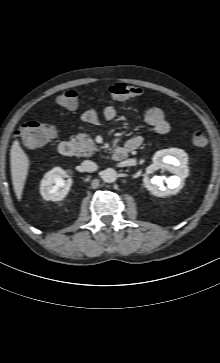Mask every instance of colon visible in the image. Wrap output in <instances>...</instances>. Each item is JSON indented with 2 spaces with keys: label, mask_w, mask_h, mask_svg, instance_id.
<instances>
[{
  "label": "colon",
  "mask_w": 220,
  "mask_h": 363,
  "mask_svg": "<svg viewBox=\"0 0 220 363\" xmlns=\"http://www.w3.org/2000/svg\"><path fill=\"white\" fill-rule=\"evenodd\" d=\"M108 92L114 100H124L144 95V91L139 87L125 83H115L109 86ZM78 100V92L69 89L56 98V103L65 109H74L78 104ZM16 135L25 148H34L51 141L56 135V128L50 123L30 121L23 124L16 131ZM190 138L197 146L204 147L208 144V136L202 130L192 131Z\"/></svg>",
  "instance_id": "5ec220e1"
}]
</instances>
